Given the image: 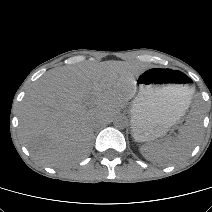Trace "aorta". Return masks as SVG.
<instances>
[{"label": "aorta", "instance_id": "1", "mask_svg": "<svg viewBox=\"0 0 212 212\" xmlns=\"http://www.w3.org/2000/svg\"><path fill=\"white\" fill-rule=\"evenodd\" d=\"M113 125L117 129H124L128 125V119L125 116H117L114 119Z\"/></svg>", "mask_w": 212, "mask_h": 212}]
</instances>
